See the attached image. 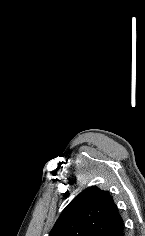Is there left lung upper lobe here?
<instances>
[{
    "label": "left lung upper lobe",
    "mask_w": 145,
    "mask_h": 236,
    "mask_svg": "<svg viewBox=\"0 0 145 236\" xmlns=\"http://www.w3.org/2000/svg\"><path fill=\"white\" fill-rule=\"evenodd\" d=\"M49 236H124V222L109 192L92 186L65 207Z\"/></svg>",
    "instance_id": "5c2ea615"
}]
</instances>
